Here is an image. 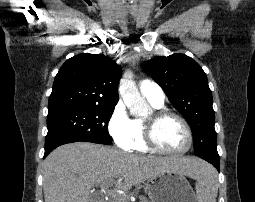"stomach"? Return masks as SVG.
I'll list each match as a JSON object with an SVG mask.
<instances>
[{"instance_id":"stomach-1","label":"stomach","mask_w":255,"mask_h":202,"mask_svg":"<svg viewBox=\"0 0 255 202\" xmlns=\"http://www.w3.org/2000/svg\"><path fill=\"white\" fill-rule=\"evenodd\" d=\"M146 186L150 202H196V195L183 174L168 171L151 177Z\"/></svg>"}]
</instances>
